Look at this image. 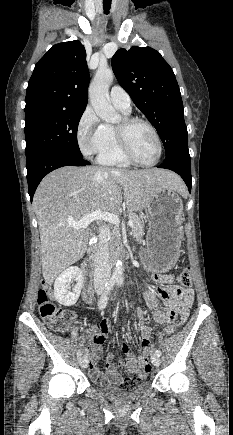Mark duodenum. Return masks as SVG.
I'll list each match as a JSON object with an SVG mask.
<instances>
[{
  "label": "duodenum",
  "instance_id": "1",
  "mask_svg": "<svg viewBox=\"0 0 233 435\" xmlns=\"http://www.w3.org/2000/svg\"><path fill=\"white\" fill-rule=\"evenodd\" d=\"M95 249H96L95 246H91V251H95ZM83 269L85 270V272H86L89 276L92 275V273H93V269H92L91 263H89V262L85 263V264L83 265ZM84 299H85V301H86L87 303H91V301H92V298H91L90 296H88V295H86V296L84 297Z\"/></svg>",
  "mask_w": 233,
  "mask_h": 435
}]
</instances>
